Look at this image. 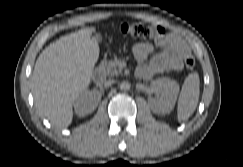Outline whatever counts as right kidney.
<instances>
[{
    "label": "right kidney",
    "instance_id": "obj_1",
    "mask_svg": "<svg viewBox=\"0 0 243 167\" xmlns=\"http://www.w3.org/2000/svg\"><path fill=\"white\" fill-rule=\"evenodd\" d=\"M100 100L101 94L99 92L84 90L74 103L75 113L79 116L91 113L97 107Z\"/></svg>",
    "mask_w": 243,
    "mask_h": 167
}]
</instances>
